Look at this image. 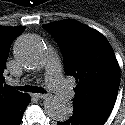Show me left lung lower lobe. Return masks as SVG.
<instances>
[{
	"label": "left lung lower lobe",
	"instance_id": "left-lung-lower-lobe-1",
	"mask_svg": "<svg viewBox=\"0 0 125 125\" xmlns=\"http://www.w3.org/2000/svg\"><path fill=\"white\" fill-rule=\"evenodd\" d=\"M107 119L84 112L73 110V115L66 121L57 122V125H103Z\"/></svg>",
	"mask_w": 125,
	"mask_h": 125
}]
</instances>
